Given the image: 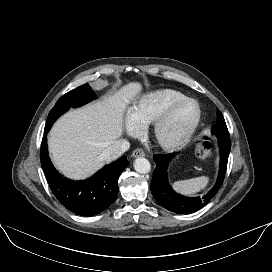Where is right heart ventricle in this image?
I'll return each instance as SVG.
<instances>
[{"label": "right heart ventricle", "instance_id": "1", "mask_svg": "<svg viewBox=\"0 0 272 272\" xmlns=\"http://www.w3.org/2000/svg\"><path fill=\"white\" fill-rule=\"evenodd\" d=\"M185 97L183 93L173 89L147 93L133 106L129 119L138 130H143L153 124L171 103Z\"/></svg>", "mask_w": 272, "mask_h": 272}]
</instances>
